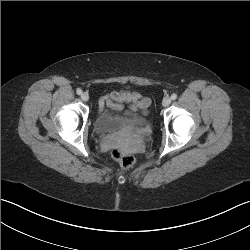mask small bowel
<instances>
[{"label":"small bowel","mask_w":250,"mask_h":250,"mask_svg":"<svg viewBox=\"0 0 250 250\" xmlns=\"http://www.w3.org/2000/svg\"><path fill=\"white\" fill-rule=\"evenodd\" d=\"M149 104V99L139 94L120 91L104 95L99 101V109L103 110L108 107L113 111L123 112L128 108L134 112H145Z\"/></svg>","instance_id":"small-bowel-1"}]
</instances>
